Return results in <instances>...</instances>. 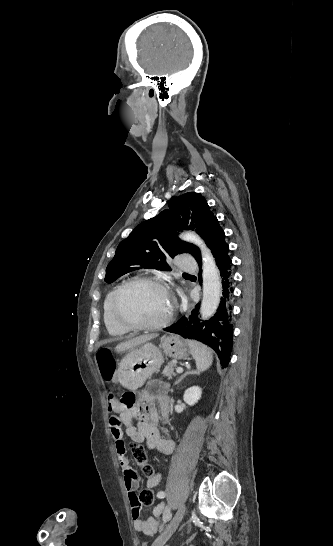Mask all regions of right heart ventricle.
<instances>
[{
	"label": "right heart ventricle",
	"mask_w": 333,
	"mask_h": 546,
	"mask_svg": "<svg viewBox=\"0 0 333 546\" xmlns=\"http://www.w3.org/2000/svg\"><path fill=\"white\" fill-rule=\"evenodd\" d=\"M119 286L120 284L113 287L108 292L103 302V321L108 333L114 337H121L128 333V330H126L116 322L112 313L113 297Z\"/></svg>",
	"instance_id": "1"
}]
</instances>
